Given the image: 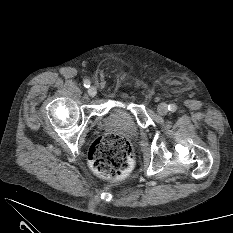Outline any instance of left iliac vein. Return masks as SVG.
<instances>
[{
    "mask_svg": "<svg viewBox=\"0 0 233 233\" xmlns=\"http://www.w3.org/2000/svg\"><path fill=\"white\" fill-rule=\"evenodd\" d=\"M157 112L159 115L164 116L168 113V106L166 103H161L157 107Z\"/></svg>",
    "mask_w": 233,
    "mask_h": 233,
    "instance_id": "left-iliac-vein-1",
    "label": "left iliac vein"
}]
</instances>
